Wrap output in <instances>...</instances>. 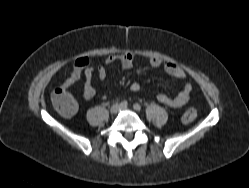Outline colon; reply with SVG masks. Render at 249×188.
<instances>
[{"label": "colon", "mask_w": 249, "mask_h": 188, "mask_svg": "<svg viewBox=\"0 0 249 188\" xmlns=\"http://www.w3.org/2000/svg\"><path fill=\"white\" fill-rule=\"evenodd\" d=\"M51 103L55 110L64 117L75 115L78 105L76 100L68 90L58 87L51 94ZM197 117V111L194 108L187 109L182 115L184 123H191Z\"/></svg>", "instance_id": "5ec220e1"}]
</instances>
